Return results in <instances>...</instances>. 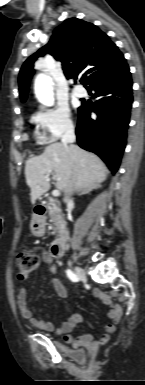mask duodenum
<instances>
[{
  "label": "duodenum",
  "instance_id": "1",
  "mask_svg": "<svg viewBox=\"0 0 145 385\" xmlns=\"http://www.w3.org/2000/svg\"><path fill=\"white\" fill-rule=\"evenodd\" d=\"M35 214H36V218L34 220L35 226L37 227L43 226V218L46 214V207L43 205H39L35 210ZM67 239H68V229L66 224H63L61 227L59 236L57 237V239L53 241L51 245V254L54 257H60L63 254Z\"/></svg>",
  "mask_w": 145,
  "mask_h": 385
}]
</instances>
